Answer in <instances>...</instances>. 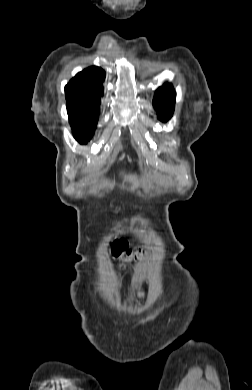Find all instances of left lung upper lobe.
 <instances>
[{
  "mask_svg": "<svg viewBox=\"0 0 252 390\" xmlns=\"http://www.w3.org/2000/svg\"><path fill=\"white\" fill-rule=\"evenodd\" d=\"M176 93L171 84L159 87L153 98V105L158 113V119L162 122L169 120L174 112Z\"/></svg>",
  "mask_w": 252,
  "mask_h": 390,
  "instance_id": "left-lung-upper-lobe-1",
  "label": "left lung upper lobe"
}]
</instances>
